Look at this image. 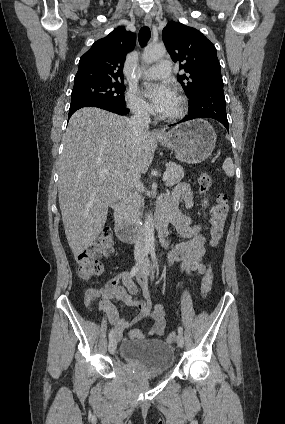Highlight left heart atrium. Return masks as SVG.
I'll list each match as a JSON object with an SVG mask.
<instances>
[{"label": "left heart atrium", "mask_w": 285, "mask_h": 424, "mask_svg": "<svg viewBox=\"0 0 285 424\" xmlns=\"http://www.w3.org/2000/svg\"><path fill=\"white\" fill-rule=\"evenodd\" d=\"M145 95L150 100L153 111L162 114L170 105L175 94L167 84L148 85Z\"/></svg>", "instance_id": "obj_1"}]
</instances>
